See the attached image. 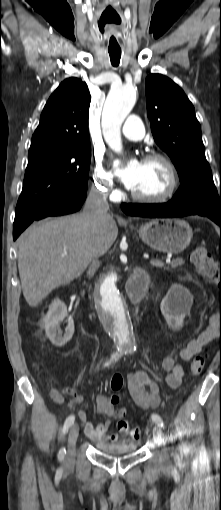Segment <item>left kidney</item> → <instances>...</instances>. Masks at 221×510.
I'll return each mask as SVG.
<instances>
[{
	"mask_svg": "<svg viewBox=\"0 0 221 510\" xmlns=\"http://www.w3.org/2000/svg\"><path fill=\"white\" fill-rule=\"evenodd\" d=\"M192 304L193 297L189 290L182 285L173 284L162 300L160 309L167 324L172 329L179 330Z\"/></svg>",
	"mask_w": 221,
	"mask_h": 510,
	"instance_id": "obj_1",
	"label": "left kidney"
}]
</instances>
